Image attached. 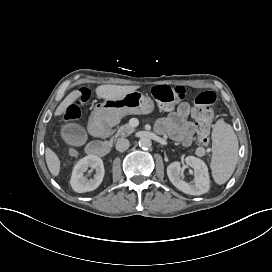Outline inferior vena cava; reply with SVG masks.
<instances>
[{"label": "inferior vena cava", "instance_id": "inferior-vena-cava-1", "mask_svg": "<svg viewBox=\"0 0 272 272\" xmlns=\"http://www.w3.org/2000/svg\"><path fill=\"white\" fill-rule=\"evenodd\" d=\"M129 148V141L125 138H121L116 143V149L123 152Z\"/></svg>", "mask_w": 272, "mask_h": 272}]
</instances>
